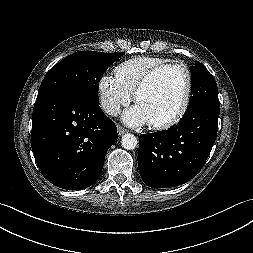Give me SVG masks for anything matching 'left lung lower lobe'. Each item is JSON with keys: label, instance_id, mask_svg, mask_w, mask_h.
Segmentation results:
<instances>
[{"label": "left lung lower lobe", "instance_id": "left-lung-lower-lobe-1", "mask_svg": "<svg viewBox=\"0 0 253 253\" xmlns=\"http://www.w3.org/2000/svg\"><path fill=\"white\" fill-rule=\"evenodd\" d=\"M219 112V103L202 102L168 130L141 134L138 169L144 183L170 188L196 176L215 142Z\"/></svg>", "mask_w": 253, "mask_h": 253}]
</instances>
